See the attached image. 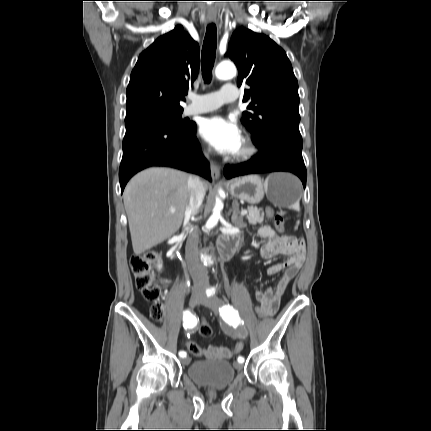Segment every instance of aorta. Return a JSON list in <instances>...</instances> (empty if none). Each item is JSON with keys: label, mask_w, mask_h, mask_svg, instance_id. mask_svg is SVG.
<instances>
[{"label": "aorta", "mask_w": 431, "mask_h": 431, "mask_svg": "<svg viewBox=\"0 0 431 431\" xmlns=\"http://www.w3.org/2000/svg\"><path fill=\"white\" fill-rule=\"evenodd\" d=\"M215 75L218 79H221V80L233 78L236 75V67L231 62H222L216 67ZM219 194L222 195L223 191L219 190ZM222 208H223V203L221 199L216 198V203H215L213 213L205 224V232L212 231L214 227L217 225L221 217ZM201 261L203 265L206 267H211L214 264L211 256L207 253H203L201 255Z\"/></svg>", "instance_id": "762f6f07"}]
</instances>
